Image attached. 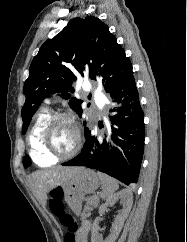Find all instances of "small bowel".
<instances>
[{"mask_svg":"<svg viewBox=\"0 0 187 242\" xmlns=\"http://www.w3.org/2000/svg\"><path fill=\"white\" fill-rule=\"evenodd\" d=\"M91 230V224L88 221L82 222L79 230L76 235L79 239V242H88V234Z\"/></svg>","mask_w":187,"mask_h":242,"instance_id":"c3829d8e","label":"small bowel"}]
</instances>
